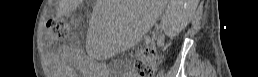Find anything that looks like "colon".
<instances>
[{
    "label": "colon",
    "mask_w": 258,
    "mask_h": 77,
    "mask_svg": "<svg viewBox=\"0 0 258 77\" xmlns=\"http://www.w3.org/2000/svg\"><path fill=\"white\" fill-rule=\"evenodd\" d=\"M47 26L50 29L53 40L64 39L69 29V24H65L60 20L50 21ZM156 58V51L152 48H146L137 53L135 68L141 77H151L153 75Z\"/></svg>",
    "instance_id": "5ec220e1"
}]
</instances>
